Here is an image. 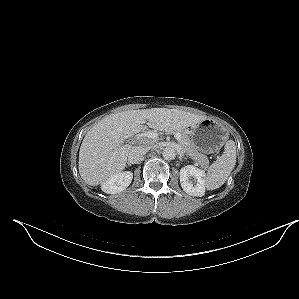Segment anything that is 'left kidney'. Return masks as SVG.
Segmentation results:
<instances>
[{
  "instance_id": "5707ae66",
  "label": "left kidney",
  "mask_w": 299,
  "mask_h": 299,
  "mask_svg": "<svg viewBox=\"0 0 299 299\" xmlns=\"http://www.w3.org/2000/svg\"><path fill=\"white\" fill-rule=\"evenodd\" d=\"M205 171L193 165H187L180 169V183L182 189L191 196L202 197L205 194ZM195 179V184L190 180Z\"/></svg>"
}]
</instances>
